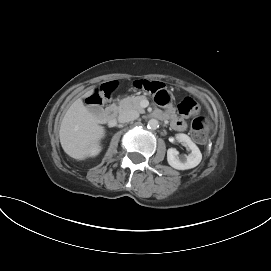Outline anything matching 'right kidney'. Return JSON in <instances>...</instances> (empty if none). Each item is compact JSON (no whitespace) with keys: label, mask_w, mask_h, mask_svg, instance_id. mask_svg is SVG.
<instances>
[{"label":"right kidney","mask_w":271,"mask_h":271,"mask_svg":"<svg viewBox=\"0 0 271 271\" xmlns=\"http://www.w3.org/2000/svg\"><path fill=\"white\" fill-rule=\"evenodd\" d=\"M99 151H100V148H99V147H95V148L92 150L91 155H92V156H95V155H97V154L99 153Z\"/></svg>","instance_id":"right-kidney-1"}]
</instances>
